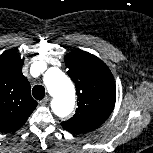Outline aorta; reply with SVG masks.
<instances>
[{"instance_id": "1", "label": "aorta", "mask_w": 153, "mask_h": 153, "mask_svg": "<svg viewBox=\"0 0 153 153\" xmlns=\"http://www.w3.org/2000/svg\"><path fill=\"white\" fill-rule=\"evenodd\" d=\"M44 83L53 96L52 109L60 117L69 115L75 105V89L71 80L58 68L44 74Z\"/></svg>"}]
</instances>
